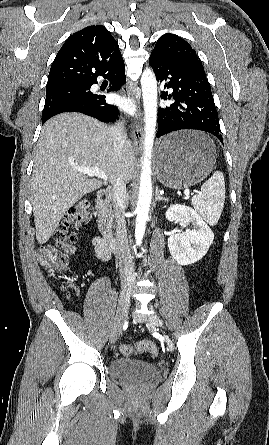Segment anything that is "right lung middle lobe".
Listing matches in <instances>:
<instances>
[{
  "label": "right lung middle lobe",
  "instance_id": "right-lung-middle-lobe-1",
  "mask_svg": "<svg viewBox=\"0 0 269 445\" xmlns=\"http://www.w3.org/2000/svg\"><path fill=\"white\" fill-rule=\"evenodd\" d=\"M91 84L64 85L46 88V100L42 113V122L51 117L58 109L76 102L89 99Z\"/></svg>",
  "mask_w": 269,
  "mask_h": 445
}]
</instances>
